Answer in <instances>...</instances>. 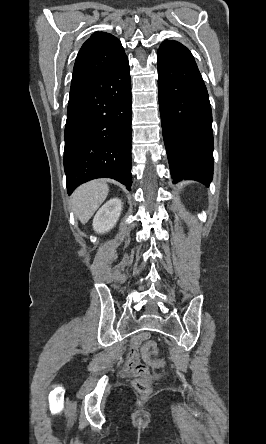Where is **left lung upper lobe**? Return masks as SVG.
I'll use <instances>...</instances> for the list:
<instances>
[{"label": "left lung upper lobe", "instance_id": "left-lung-upper-lobe-1", "mask_svg": "<svg viewBox=\"0 0 266 444\" xmlns=\"http://www.w3.org/2000/svg\"><path fill=\"white\" fill-rule=\"evenodd\" d=\"M158 54L181 62L195 63L194 57L187 47L177 41H164L158 49Z\"/></svg>", "mask_w": 266, "mask_h": 444}]
</instances>
